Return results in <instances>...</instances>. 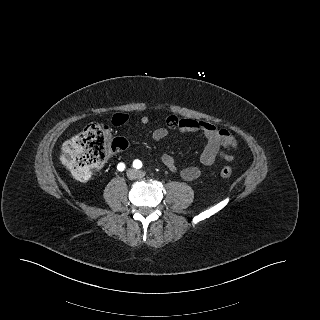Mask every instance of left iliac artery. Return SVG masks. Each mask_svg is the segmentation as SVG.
<instances>
[{
  "label": "left iliac artery",
  "instance_id": "obj_1",
  "mask_svg": "<svg viewBox=\"0 0 320 320\" xmlns=\"http://www.w3.org/2000/svg\"><path fill=\"white\" fill-rule=\"evenodd\" d=\"M133 167L136 169H139L142 167V162L140 160H134L133 161Z\"/></svg>",
  "mask_w": 320,
  "mask_h": 320
}]
</instances>
